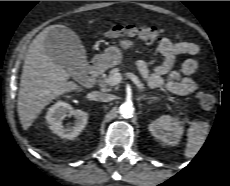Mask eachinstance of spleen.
I'll use <instances>...</instances> for the list:
<instances>
[{
	"mask_svg": "<svg viewBox=\"0 0 230 186\" xmlns=\"http://www.w3.org/2000/svg\"><path fill=\"white\" fill-rule=\"evenodd\" d=\"M208 123L206 122H192L188 129V141L185 149V157L190 158L194 156L205 142L208 133Z\"/></svg>",
	"mask_w": 230,
	"mask_h": 186,
	"instance_id": "obj_1",
	"label": "spleen"
}]
</instances>
